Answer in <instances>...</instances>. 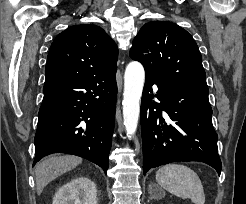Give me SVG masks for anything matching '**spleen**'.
<instances>
[{
	"mask_svg": "<svg viewBox=\"0 0 246 204\" xmlns=\"http://www.w3.org/2000/svg\"><path fill=\"white\" fill-rule=\"evenodd\" d=\"M156 181L168 192L190 199L194 204H204L205 194L199 176L191 168L171 163L160 167L156 172Z\"/></svg>",
	"mask_w": 246,
	"mask_h": 204,
	"instance_id": "3e777b00",
	"label": "spleen"
}]
</instances>
